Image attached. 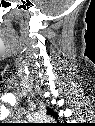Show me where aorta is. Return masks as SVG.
<instances>
[{"label":"aorta","instance_id":"762f6f07","mask_svg":"<svg viewBox=\"0 0 95 126\" xmlns=\"http://www.w3.org/2000/svg\"><path fill=\"white\" fill-rule=\"evenodd\" d=\"M30 121L36 122H50L52 119L47 115L33 114L29 117Z\"/></svg>","mask_w":95,"mask_h":126}]
</instances>
